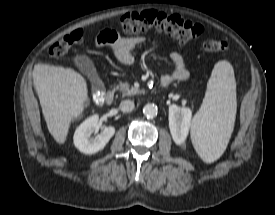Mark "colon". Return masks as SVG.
I'll return each mask as SVG.
<instances>
[{"label":"colon","instance_id":"1","mask_svg":"<svg viewBox=\"0 0 275 215\" xmlns=\"http://www.w3.org/2000/svg\"><path fill=\"white\" fill-rule=\"evenodd\" d=\"M120 26L126 33H139L156 30L166 33L181 43L192 42L203 38L205 31L197 23L178 15H168L158 11L126 13L120 17ZM83 38L81 30H75L51 45L48 54L52 58L64 56L70 48ZM203 48L208 52H225L228 45L225 41L214 38H203Z\"/></svg>","mask_w":275,"mask_h":215}]
</instances>
